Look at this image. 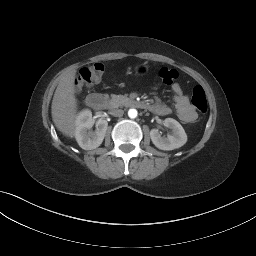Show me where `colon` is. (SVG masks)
<instances>
[{
    "label": "colon",
    "instance_id": "colon-1",
    "mask_svg": "<svg viewBox=\"0 0 256 256\" xmlns=\"http://www.w3.org/2000/svg\"><path fill=\"white\" fill-rule=\"evenodd\" d=\"M103 72L104 66L99 62L84 67L78 73L76 85L79 88L90 86L102 77ZM158 77L163 84L169 85L177 80L178 73L175 69L162 67L158 71ZM191 101L200 113H205L207 111L208 104L206 94L202 86L196 85L193 88Z\"/></svg>",
    "mask_w": 256,
    "mask_h": 256
}]
</instances>
